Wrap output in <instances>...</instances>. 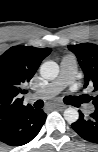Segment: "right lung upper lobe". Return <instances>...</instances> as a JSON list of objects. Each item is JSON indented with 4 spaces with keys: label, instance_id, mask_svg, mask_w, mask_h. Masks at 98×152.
<instances>
[{
    "label": "right lung upper lobe",
    "instance_id": "right-lung-upper-lobe-1",
    "mask_svg": "<svg viewBox=\"0 0 98 152\" xmlns=\"http://www.w3.org/2000/svg\"><path fill=\"white\" fill-rule=\"evenodd\" d=\"M50 52V48L14 46L0 56V130L32 107L23 105L20 94L27 93L24 85Z\"/></svg>",
    "mask_w": 98,
    "mask_h": 152
}]
</instances>
